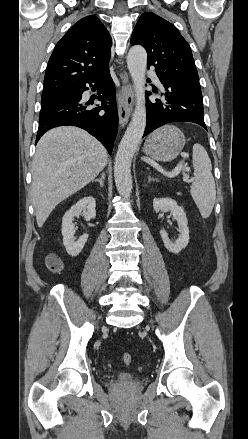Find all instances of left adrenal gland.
Listing matches in <instances>:
<instances>
[{"mask_svg":"<svg viewBox=\"0 0 248 439\" xmlns=\"http://www.w3.org/2000/svg\"><path fill=\"white\" fill-rule=\"evenodd\" d=\"M151 181H156L154 178H152L151 176H148V182L150 183Z\"/></svg>","mask_w":248,"mask_h":439,"instance_id":"a2214340","label":"left adrenal gland"}]
</instances>
